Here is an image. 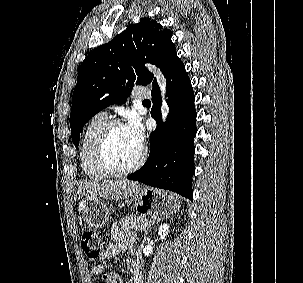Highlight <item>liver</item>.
<instances>
[{
  "label": "liver",
  "instance_id": "1",
  "mask_svg": "<svg viewBox=\"0 0 303 283\" xmlns=\"http://www.w3.org/2000/svg\"><path fill=\"white\" fill-rule=\"evenodd\" d=\"M139 184L129 180H116L105 182L80 181L76 191L75 199L83 197L89 198H109L120 200L127 198L132 192L139 189Z\"/></svg>",
  "mask_w": 303,
  "mask_h": 283
}]
</instances>
